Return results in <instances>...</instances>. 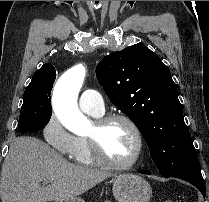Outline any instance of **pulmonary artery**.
Returning a JSON list of instances; mask_svg holds the SVG:
<instances>
[{"label": "pulmonary artery", "instance_id": "obj_1", "mask_svg": "<svg viewBox=\"0 0 209 202\" xmlns=\"http://www.w3.org/2000/svg\"><path fill=\"white\" fill-rule=\"evenodd\" d=\"M79 107L82 111L102 115L105 111V105L101 94L97 89L86 88L78 99Z\"/></svg>", "mask_w": 209, "mask_h": 202}]
</instances>
